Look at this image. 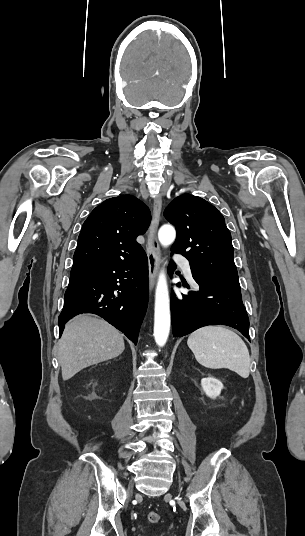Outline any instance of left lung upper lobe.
<instances>
[{
    "mask_svg": "<svg viewBox=\"0 0 305 536\" xmlns=\"http://www.w3.org/2000/svg\"><path fill=\"white\" fill-rule=\"evenodd\" d=\"M175 225L172 253H180L197 274L238 278L231 234L222 214L209 202L191 194L175 198L164 211Z\"/></svg>",
    "mask_w": 305,
    "mask_h": 536,
    "instance_id": "obj_1",
    "label": "left lung upper lobe"
}]
</instances>
